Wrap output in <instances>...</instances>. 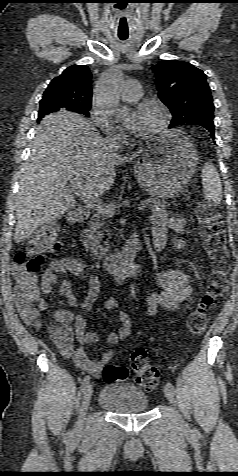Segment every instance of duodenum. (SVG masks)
Returning <instances> with one entry per match:
<instances>
[{
    "label": "duodenum",
    "instance_id": "410a0bca",
    "mask_svg": "<svg viewBox=\"0 0 238 476\" xmlns=\"http://www.w3.org/2000/svg\"><path fill=\"white\" fill-rule=\"evenodd\" d=\"M89 212L80 210L73 215L71 220L73 222H84L88 219ZM141 247V240L138 235L131 236L124 247L117 253L106 255L102 258V265L104 270L110 274L119 276L126 273H131L136 270L133 263V258Z\"/></svg>",
    "mask_w": 238,
    "mask_h": 476
}]
</instances>
